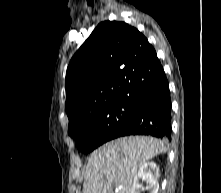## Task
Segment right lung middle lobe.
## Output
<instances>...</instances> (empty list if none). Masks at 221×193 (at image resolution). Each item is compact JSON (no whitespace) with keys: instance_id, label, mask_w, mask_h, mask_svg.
<instances>
[{"instance_id":"right-lung-middle-lobe-1","label":"right lung middle lobe","mask_w":221,"mask_h":193,"mask_svg":"<svg viewBox=\"0 0 221 193\" xmlns=\"http://www.w3.org/2000/svg\"><path fill=\"white\" fill-rule=\"evenodd\" d=\"M137 110L138 99L115 101L80 119L68 134L78 138L77 146L81 152L89 153L113 139L114 135L130 122Z\"/></svg>"}]
</instances>
